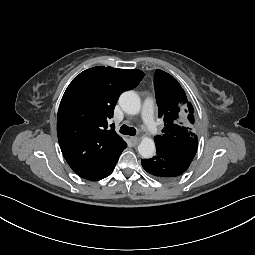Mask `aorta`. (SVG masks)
Listing matches in <instances>:
<instances>
[{"instance_id":"obj_1","label":"aorta","mask_w":255,"mask_h":255,"mask_svg":"<svg viewBox=\"0 0 255 255\" xmlns=\"http://www.w3.org/2000/svg\"><path fill=\"white\" fill-rule=\"evenodd\" d=\"M119 105L124 112L131 115L138 114L141 109L140 98L134 91L123 92L119 97ZM138 151L143 158H152L156 151L153 139L149 137H143L140 144L138 145Z\"/></svg>"}]
</instances>
